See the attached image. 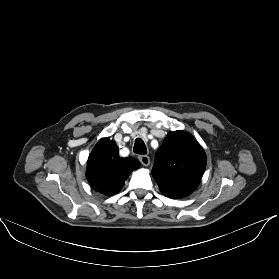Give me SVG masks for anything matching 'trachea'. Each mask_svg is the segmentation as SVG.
<instances>
[{
	"label": "trachea",
	"mask_w": 279,
	"mask_h": 279,
	"mask_svg": "<svg viewBox=\"0 0 279 279\" xmlns=\"http://www.w3.org/2000/svg\"><path fill=\"white\" fill-rule=\"evenodd\" d=\"M133 151H134V153L140 154V155L147 154L146 145H145L144 141L141 138H137L135 140Z\"/></svg>",
	"instance_id": "1"
}]
</instances>
